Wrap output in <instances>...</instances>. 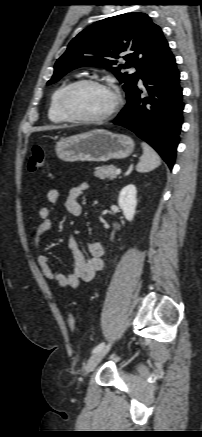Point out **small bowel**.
<instances>
[{"label":"small bowel","mask_w":202,"mask_h":437,"mask_svg":"<svg viewBox=\"0 0 202 437\" xmlns=\"http://www.w3.org/2000/svg\"><path fill=\"white\" fill-rule=\"evenodd\" d=\"M89 189L86 182L79 183L69 190L64 202L65 210L72 216H79L82 213L80 196ZM59 191L55 188L47 192V200L56 204L59 200ZM40 222L36 226L33 237V244L38 251V264L46 279L56 282L61 288L75 289L81 281L90 282L96 273L103 268L104 246L100 241H90L87 245L88 256H85L78 246L76 238L71 235L69 238V250L72 255L71 272L64 274L53 270L51 259L41 252L42 240L46 232L52 227L53 219L49 207L39 209Z\"/></svg>","instance_id":"obj_1"}]
</instances>
